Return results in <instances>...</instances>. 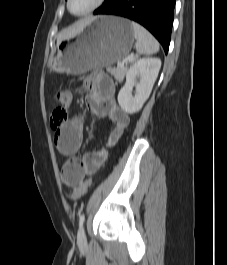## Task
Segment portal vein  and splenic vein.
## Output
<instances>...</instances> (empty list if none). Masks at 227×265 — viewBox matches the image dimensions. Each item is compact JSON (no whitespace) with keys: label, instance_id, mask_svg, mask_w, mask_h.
Returning <instances> with one entry per match:
<instances>
[{"label":"portal vein and splenic vein","instance_id":"18ae733b","mask_svg":"<svg viewBox=\"0 0 227 265\" xmlns=\"http://www.w3.org/2000/svg\"><path fill=\"white\" fill-rule=\"evenodd\" d=\"M134 60V57L133 56H131V57H129L128 58V61L129 62H131V61H133ZM124 66V61H119L118 63H117V67H123Z\"/></svg>","mask_w":227,"mask_h":265}]
</instances>
